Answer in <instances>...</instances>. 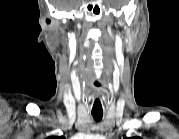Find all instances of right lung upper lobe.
I'll return each instance as SVG.
<instances>
[{
  "mask_svg": "<svg viewBox=\"0 0 179 139\" xmlns=\"http://www.w3.org/2000/svg\"><path fill=\"white\" fill-rule=\"evenodd\" d=\"M54 138H56V137H51V139H54Z\"/></svg>",
  "mask_w": 179,
  "mask_h": 139,
  "instance_id": "cb5924a9",
  "label": "right lung upper lobe"
}]
</instances>
